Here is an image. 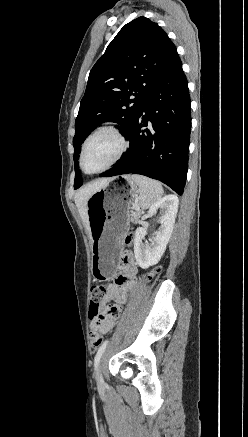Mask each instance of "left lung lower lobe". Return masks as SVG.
I'll return each instance as SVG.
<instances>
[{
    "instance_id": "1",
    "label": "left lung lower lobe",
    "mask_w": 248,
    "mask_h": 437,
    "mask_svg": "<svg viewBox=\"0 0 248 437\" xmlns=\"http://www.w3.org/2000/svg\"><path fill=\"white\" fill-rule=\"evenodd\" d=\"M190 112L187 79L177 57L145 97L126 136L130 140L129 150L100 176L141 174L165 183L182 195L188 169Z\"/></svg>"
}]
</instances>
